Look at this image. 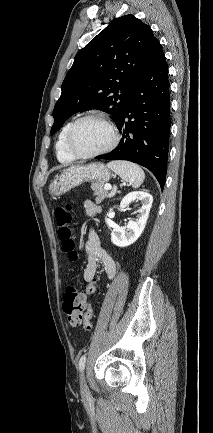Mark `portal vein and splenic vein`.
<instances>
[{"instance_id":"obj_1","label":"portal vein and splenic vein","mask_w":213,"mask_h":433,"mask_svg":"<svg viewBox=\"0 0 213 433\" xmlns=\"http://www.w3.org/2000/svg\"><path fill=\"white\" fill-rule=\"evenodd\" d=\"M104 189H105V190H111L112 187H111L110 184H106V185L104 186ZM115 193H116V189H114V190L109 194V197L114 196Z\"/></svg>"}]
</instances>
